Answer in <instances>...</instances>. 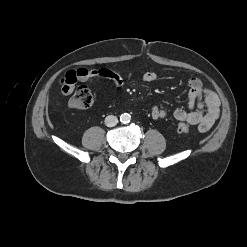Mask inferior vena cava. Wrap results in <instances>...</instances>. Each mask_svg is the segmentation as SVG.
Wrapping results in <instances>:
<instances>
[{
    "instance_id": "602c4592",
    "label": "inferior vena cava",
    "mask_w": 247,
    "mask_h": 247,
    "mask_svg": "<svg viewBox=\"0 0 247 247\" xmlns=\"http://www.w3.org/2000/svg\"><path fill=\"white\" fill-rule=\"evenodd\" d=\"M118 123V119L114 115H109L105 118V124L108 127H113Z\"/></svg>"
}]
</instances>
